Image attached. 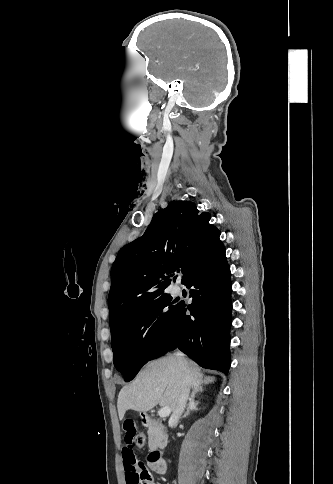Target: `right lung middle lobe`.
Returning a JSON list of instances; mask_svg holds the SVG:
<instances>
[{
  "label": "right lung middle lobe",
  "mask_w": 333,
  "mask_h": 484,
  "mask_svg": "<svg viewBox=\"0 0 333 484\" xmlns=\"http://www.w3.org/2000/svg\"><path fill=\"white\" fill-rule=\"evenodd\" d=\"M180 305L166 294L144 304L111 328L113 362L130 381L172 326Z\"/></svg>",
  "instance_id": "obj_1"
}]
</instances>
